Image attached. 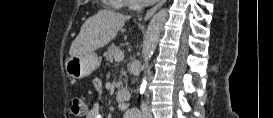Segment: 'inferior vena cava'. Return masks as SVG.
<instances>
[{"label":"inferior vena cava","instance_id":"obj_1","mask_svg":"<svg viewBox=\"0 0 273 118\" xmlns=\"http://www.w3.org/2000/svg\"><path fill=\"white\" fill-rule=\"evenodd\" d=\"M141 110L144 118H151V113L144 102L141 104Z\"/></svg>","mask_w":273,"mask_h":118}]
</instances>
